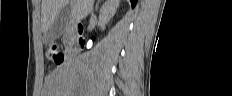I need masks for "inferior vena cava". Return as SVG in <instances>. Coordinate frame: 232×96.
Masks as SVG:
<instances>
[{"instance_id":"1","label":"inferior vena cava","mask_w":232,"mask_h":96,"mask_svg":"<svg viewBox=\"0 0 232 96\" xmlns=\"http://www.w3.org/2000/svg\"><path fill=\"white\" fill-rule=\"evenodd\" d=\"M92 11H93V6H92L91 9H90V13H92Z\"/></svg>"}]
</instances>
